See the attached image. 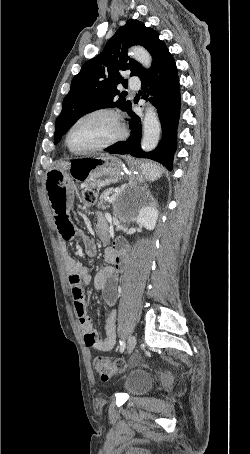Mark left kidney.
Masks as SVG:
<instances>
[{
    "mask_svg": "<svg viewBox=\"0 0 250 454\" xmlns=\"http://www.w3.org/2000/svg\"><path fill=\"white\" fill-rule=\"evenodd\" d=\"M159 212L153 205L143 207L137 216V222L147 230H153L156 226Z\"/></svg>",
    "mask_w": 250,
    "mask_h": 454,
    "instance_id": "1",
    "label": "left kidney"
}]
</instances>
